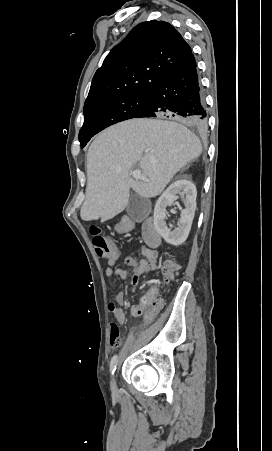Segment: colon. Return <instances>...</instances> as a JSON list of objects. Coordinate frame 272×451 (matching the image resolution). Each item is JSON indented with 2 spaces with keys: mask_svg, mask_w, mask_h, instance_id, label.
<instances>
[{
  "mask_svg": "<svg viewBox=\"0 0 272 451\" xmlns=\"http://www.w3.org/2000/svg\"><path fill=\"white\" fill-rule=\"evenodd\" d=\"M92 243L94 245L95 251L99 256H113L115 254V250L118 247V244L116 241H109L107 242V240L100 234V231H92ZM127 263L132 264L133 260L131 258H127ZM108 266L113 267L116 264L115 259L110 258L107 261ZM167 269H171L172 265L171 264H167L166 265ZM136 270L137 271H148L149 270V263L148 262H137L136 263ZM165 275L167 277H170L172 275V272L170 270H167L165 272ZM159 293V292H158ZM143 300L146 303H149L150 301L152 302V304H156L158 301L160 303H163L166 300V297L163 294H160L158 296L157 293H150V294H146L143 297ZM142 305H135L133 308V311L135 313H140L141 312V307ZM109 342L110 345L112 347H120L121 346V338H120V329L119 326L116 322H111L109 324Z\"/></svg>",
  "mask_w": 272,
  "mask_h": 451,
  "instance_id": "obj_1",
  "label": "colon"
}]
</instances>
